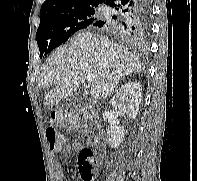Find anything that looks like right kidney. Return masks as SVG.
Masks as SVG:
<instances>
[{
    "label": "right kidney",
    "mask_w": 197,
    "mask_h": 181,
    "mask_svg": "<svg viewBox=\"0 0 197 181\" xmlns=\"http://www.w3.org/2000/svg\"><path fill=\"white\" fill-rule=\"evenodd\" d=\"M142 97V87L137 81H129L122 85L111 100L115 110L125 113L130 119H135ZM125 136L124 128L111 123L107 129V138L111 147H119Z\"/></svg>",
    "instance_id": "obj_1"
}]
</instances>
